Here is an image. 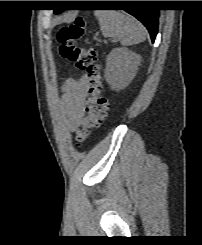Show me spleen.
I'll use <instances>...</instances> for the list:
<instances>
[{
	"instance_id": "obj_1",
	"label": "spleen",
	"mask_w": 202,
	"mask_h": 245,
	"mask_svg": "<svg viewBox=\"0 0 202 245\" xmlns=\"http://www.w3.org/2000/svg\"><path fill=\"white\" fill-rule=\"evenodd\" d=\"M95 16L105 37L117 38L123 46H131L146 39L143 25L135 18L116 11L98 10Z\"/></svg>"
}]
</instances>
